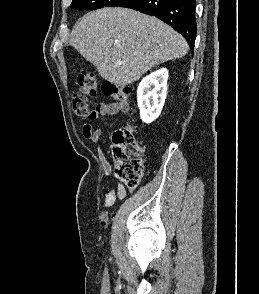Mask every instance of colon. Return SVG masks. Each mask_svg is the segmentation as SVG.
<instances>
[{
	"label": "colon",
	"mask_w": 259,
	"mask_h": 294,
	"mask_svg": "<svg viewBox=\"0 0 259 294\" xmlns=\"http://www.w3.org/2000/svg\"><path fill=\"white\" fill-rule=\"evenodd\" d=\"M97 79L93 73L82 72L78 76L79 91L72 95L71 103L74 113L82 118H90L94 113L92 98L97 93ZM102 92L105 96L119 102H126L131 89L111 82H104ZM113 157L115 176L129 189H135L143 175L142 154L144 147L135 137L130 126L117 130L113 135Z\"/></svg>",
	"instance_id": "colon-1"
}]
</instances>
